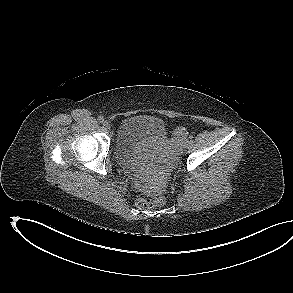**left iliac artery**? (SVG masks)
Returning a JSON list of instances; mask_svg holds the SVG:
<instances>
[{
    "label": "left iliac artery",
    "mask_w": 293,
    "mask_h": 293,
    "mask_svg": "<svg viewBox=\"0 0 293 293\" xmlns=\"http://www.w3.org/2000/svg\"><path fill=\"white\" fill-rule=\"evenodd\" d=\"M192 138H193V136H192V135H190V136H189V139H192Z\"/></svg>",
    "instance_id": "44dca946"
}]
</instances>
